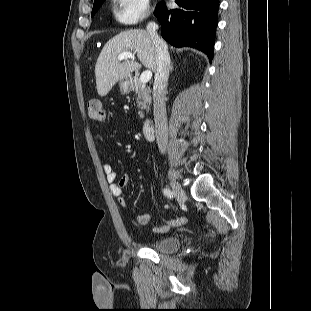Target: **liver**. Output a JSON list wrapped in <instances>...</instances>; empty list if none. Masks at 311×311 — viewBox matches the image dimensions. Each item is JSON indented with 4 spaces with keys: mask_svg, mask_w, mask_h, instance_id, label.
Wrapping results in <instances>:
<instances>
[{
    "mask_svg": "<svg viewBox=\"0 0 311 311\" xmlns=\"http://www.w3.org/2000/svg\"><path fill=\"white\" fill-rule=\"evenodd\" d=\"M132 51L146 68L156 70L157 55L149 33L140 29L121 32L105 44L95 65L96 88L101 97L106 96L117 81L141 68L134 60H118L120 53Z\"/></svg>",
    "mask_w": 311,
    "mask_h": 311,
    "instance_id": "1",
    "label": "liver"
}]
</instances>
